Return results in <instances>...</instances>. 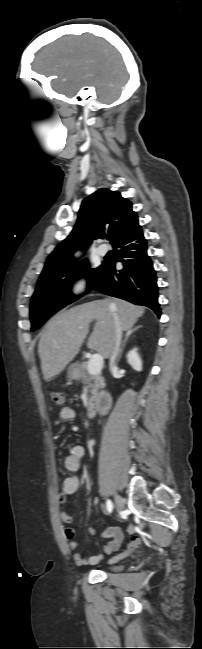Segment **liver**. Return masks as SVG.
I'll return each instance as SVG.
<instances>
[{
	"label": "liver",
	"mask_w": 202,
	"mask_h": 649,
	"mask_svg": "<svg viewBox=\"0 0 202 649\" xmlns=\"http://www.w3.org/2000/svg\"><path fill=\"white\" fill-rule=\"evenodd\" d=\"M144 312V307L121 299L105 298L54 315L41 333L38 345L44 379L49 381L60 374L75 358L88 335L92 320L95 319L96 324L87 346L107 359L115 341L114 315L121 329L128 330Z\"/></svg>",
	"instance_id": "liver-1"
}]
</instances>
